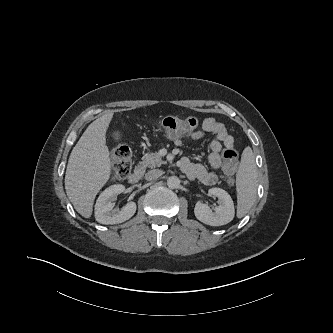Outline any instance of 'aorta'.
<instances>
[{
	"mask_svg": "<svg viewBox=\"0 0 333 333\" xmlns=\"http://www.w3.org/2000/svg\"><path fill=\"white\" fill-rule=\"evenodd\" d=\"M167 185L171 189L178 188L180 185V180L177 176H171L167 179Z\"/></svg>",
	"mask_w": 333,
	"mask_h": 333,
	"instance_id": "1",
	"label": "aorta"
}]
</instances>
